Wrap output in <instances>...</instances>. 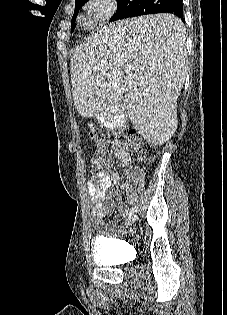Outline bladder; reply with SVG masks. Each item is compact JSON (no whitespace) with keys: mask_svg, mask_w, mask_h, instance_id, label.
Instances as JSON below:
<instances>
[{"mask_svg":"<svg viewBox=\"0 0 227 315\" xmlns=\"http://www.w3.org/2000/svg\"><path fill=\"white\" fill-rule=\"evenodd\" d=\"M122 242L118 239L96 238L92 246V258L97 264L111 266L116 265L119 258L111 254L109 249L121 246Z\"/></svg>","mask_w":227,"mask_h":315,"instance_id":"bladder-1","label":"bladder"}]
</instances>
